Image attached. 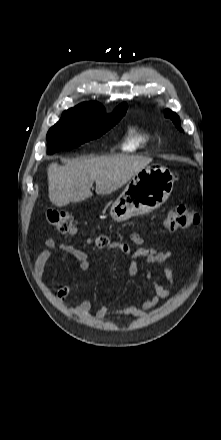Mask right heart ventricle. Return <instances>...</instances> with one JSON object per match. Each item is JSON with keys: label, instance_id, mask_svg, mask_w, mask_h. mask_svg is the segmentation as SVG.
<instances>
[{"label": "right heart ventricle", "instance_id": "right-heart-ventricle-1", "mask_svg": "<svg viewBox=\"0 0 221 440\" xmlns=\"http://www.w3.org/2000/svg\"><path fill=\"white\" fill-rule=\"evenodd\" d=\"M155 133L147 127L131 128L123 143L125 151L133 152L146 149L154 140Z\"/></svg>", "mask_w": 221, "mask_h": 440}]
</instances>
